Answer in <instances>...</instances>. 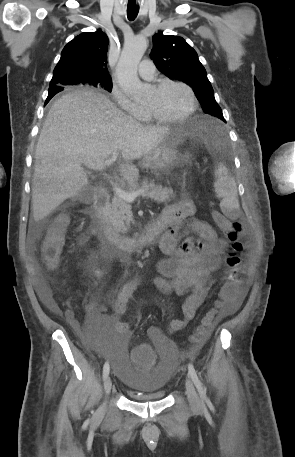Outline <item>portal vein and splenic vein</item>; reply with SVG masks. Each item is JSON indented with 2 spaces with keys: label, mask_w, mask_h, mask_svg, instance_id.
Masks as SVG:
<instances>
[{
  "label": "portal vein and splenic vein",
  "mask_w": 295,
  "mask_h": 457,
  "mask_svg": "<svg viewBox=\"0 0 295 457\" xmlns=\"http://www.w3.org/2000/svg\"><path fill=\"white\" fill-rule=\"evenodd\" d=\"M118 152H113L111 158L107 159L104 163L105 166H110L113 162L117 160ZM113 191L116 195L127 202H133L138 196H145V190L141 189L134 192H127L120 188L116 183L112 182Z\"/></svg>",
  "instance_id": "18ae733b"
}]
</instances>
